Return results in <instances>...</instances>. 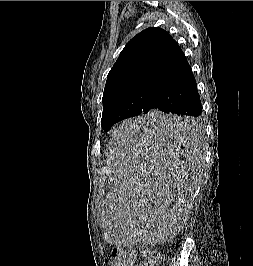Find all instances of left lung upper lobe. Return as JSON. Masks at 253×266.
<instances>
[{
    "instance_id": "obj_1",
    "label": "left lung upper lobe",
    "mask_w": 253,
    "mask_h": 266,
    "mask_svg": "<svg viewBox=\"0 0 253 266\" xmlns=\"http://www.w3.org/2000/svg\"><path fill=\"white\" fill-rule=\"evenodd\" d=\"M172 40L165 30L150 27L126 44L107 76L102 98L104 131L141 114L151 78Z\"/></svg>"
}]
</instances>
